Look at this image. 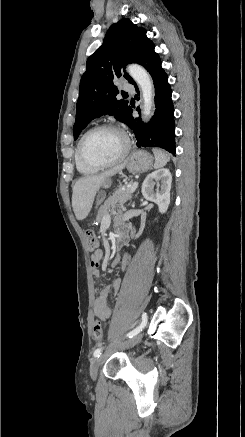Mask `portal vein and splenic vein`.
<instances>
[{
	"label": "portal vein and splenic vein",
	"mask_w": 245,
	"mask_h": 437,
	"mask_svg": "<svg viewBox=\"0 0 245 437\" xmlns=\"http://www.w3.org/2000/svg\"><path fill=\"white\" fill-rule=\"evenodd\" d=\"M129 187L131 189L130 192L133 193L138 187V182H134V183L130 184ZM107 217H109V215H107Z\"/></svg>",
	"instance_id": "portal-vein-and-splenic-vein-1"
}]
</instances>
